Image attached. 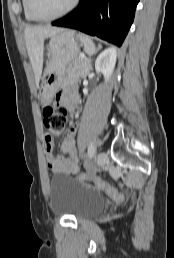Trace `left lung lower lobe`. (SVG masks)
I'll list each match as a JSON object with an SVG mask.
<instances>
[{
	"mask_svg": "<svg viewBox=\"0 0 174 258\" xmlns=\"http://www.w3.org/2000/svg\"><path fill=\"white\" fill-rule=\"evenodd\" d=\"M139 0H80L75 10L54 26L80 30L121 46L133 23Z\"/></svg>",
	"mask_w": 174,
	"mask_h": 258,
	"instance_id": "obj_1",
	"label": "left lung lower lobe"
}]
</instances>
